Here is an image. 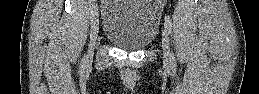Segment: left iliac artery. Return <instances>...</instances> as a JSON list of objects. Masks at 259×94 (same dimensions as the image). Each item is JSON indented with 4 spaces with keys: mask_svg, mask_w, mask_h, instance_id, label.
I'll list each match as a JSON object with an SVG mask.
<instances>
[{
    "mask_svg": "<svg viewBox=\"0 0 259 94\" xmlns=\"http://www.w3.org/2000/svg\"><path fill=\"white\" fill-rule=\"evenodd\" d=\"M165 26H166V28L168 30V34H171L172 23H171L170 16L167 15V14L165 15ZM170 63H171L172 68L176 67V60H175V57H174L173 53L170 56Z\"/></svg>",
    "mask_w": 259,
    "mask_h": 94,
    "instance_id": "obj_1",
    "label": "left iliac artery"
}]
</instances>
